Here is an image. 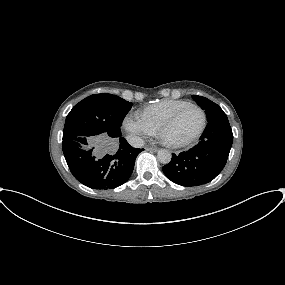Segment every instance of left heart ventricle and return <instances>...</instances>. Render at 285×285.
Returning a JSON list of instances; mask_svg holds the SVG:
<instances>
[{
  "label": "left heart ventricle",
  "mask_w": 285,
  "mask_h": 285,
  "mask_svg": "<svg viewBox=\"0 0 285 285\" xmlns=\"http://www.w3.org/2000/svg\"><path fill=\"white\" fill-rule=\"evenodd\" d=\"M202 124V115L196 108L186 109L177 122L167 131L166 137L181 141L195 134Z\"/></svg>",
  "instance_id": "obj_1"
}]
</instances>
